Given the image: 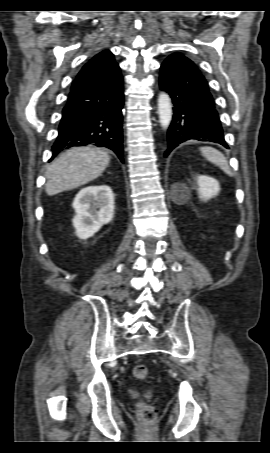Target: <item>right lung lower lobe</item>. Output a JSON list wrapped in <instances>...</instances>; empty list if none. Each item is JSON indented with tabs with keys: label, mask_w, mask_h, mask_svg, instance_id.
Returning a JSON list of instances; mask_svg holds the SVG:
<instances>
[{
	"label": "right lung lower lobe",
	"mask_w": 270,
	"mask_h": 453,
	"mask_svg": "<svg viewBox=\"0 0 270 453\" xmlns=\"http://www.w3.org/2000/svg\"><path fill=\"white\" fill-rule=\"evenodd\" d=\"M123 103L120 69L96 85L71 90L50 161L64 149L87 144L107 147L123 161Z\"/></svg>",
	"instance_id": "1"
}]
</instances>
